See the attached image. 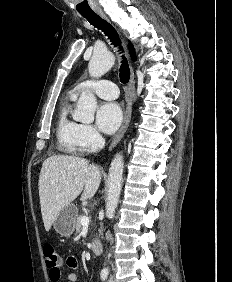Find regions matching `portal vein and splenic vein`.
I'll list each match as a JSON object with an SVG mask.
<instances>
[{
	"instance_id": "portal-vein-and-splenic-vein-1",
	"label": "portal vein and splenic vein",
	"mask_w": 232,
	"mask_h": 282,
	"mask_svg": "<svg viewBox=\"0 0 232 282\" xmlns=\"http://www.w3.org/2000/svg\"><path fill=\"white\" fill-rule=\"evenodd\" d=\"M89 223H90V219H89L88 216H83L81 218V224H82L83 227H88Z\"/></svg>"
}]
</instances>
